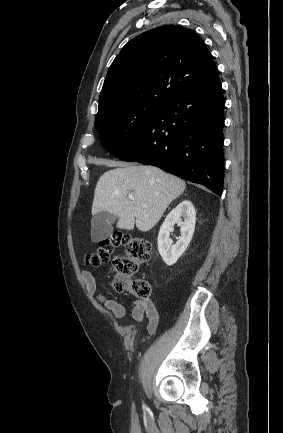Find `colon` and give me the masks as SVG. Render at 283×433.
I'll return each mask as SVG.
<instances>
[{
    "mask_svg": "<svg viewBox=\"0 0 283 433\" xmlns=\"http://www.w3.org/2000/svg\"><path fill=\"white\" fill-rule=\"evenodd\" d=\"M119 246L124 247L125 254L115 257L112 262L113 271L116 273L114 287L119 291L128 288L136 297L148 298L151 293L148 281L135 279L127 285L125 279L136 274L140 266L150 260L152 248L149 241L115 232L110 237L101 240L95 251L86 255L87 265L98 267L109 262L112 252Z\"/></svg>",
    "mask_w": 283,
    "mask_h": 433,
    "instance_id": "1",
    "label": "colon"
}]
</instances>
